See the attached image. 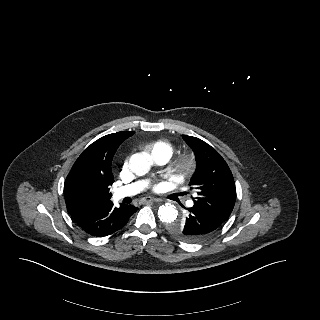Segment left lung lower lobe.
Returning a JSON list of instances; mask_svg holds the SVG:
<instances>
[{
    "label": "left lung lower lobe",
    "mask_w": 320,
    "mask_h": 320,
    "mask_svg": "<svg viewBox=\"0 0 320 320\" xmlns=\"http://www.w3.org/2000/svg\"><path fill=\"white\" fill-rule=\"evenodd\" d=\"M189 215L184 219L186 232L198 241L212 235L224 223L211 213L197 206L188 208Z\"/></svg>",
    "instance_id": "left-lung-lower-lobe-1"
}]
</instances>
